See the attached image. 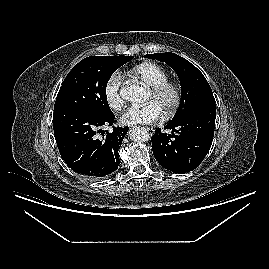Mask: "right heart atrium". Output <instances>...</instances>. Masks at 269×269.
Listing matches in <instances>:
<instances>
[{
    "label": "right heart atrium",
    "instance_id": "d8ad5b80",
    "mask_svg": "<svg viewBox=\"0 0 269 269\" xmlns=\"http://www.w3.org/2000/svg\"><path fill=\"white\" fill-rule=\"evenodd\" d=\"M122 84L123 77L119 71L111 73L104 84L105 101L108 107L115 112L120 111L124 106V101L120 94Z\"/></svg>",
    "mask_w": 269,
    "mask_h": 269
}]
</instances>
